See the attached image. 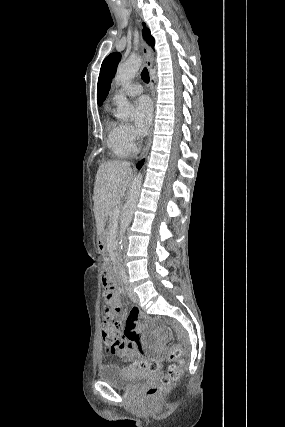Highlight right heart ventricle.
<instances>
[{
  "label": "right heart ventricle",
  "instance_id": "obj_1",
  "mask_svg": "<svg viewBox=\"0 0 285 427\" xmlns=\"http://www.w3.org/2000/svg\"><path fill=\"white\" fill-rule=\"evenodd\" d=\"M107 145L117 157H127L131 150L125 145L122 138V124L107 119Z\"/></svg>",
  "mask_w": 285,
  "mask_h": 427
}]
</instances>
